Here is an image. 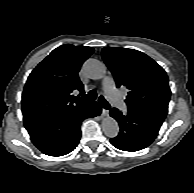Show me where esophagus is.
Listing matches in <instances>:
<instances>
[{"label": "esophagus", "instance_id": "obj_1", "mask_svg": "<svg viewBox=\"0 0 194 193\" xmlns=\"http://www.w3.org/2000/svg\"><path fill=\"white\" fill-rule=\"evenodd\" d=\"M102 115L103 116H108L109 115V110H107V109H102Z\"/></svg>", "mask_w": 194, "mask_h": 193}]
</instances>
